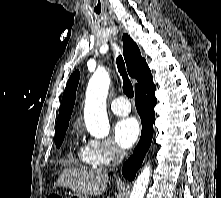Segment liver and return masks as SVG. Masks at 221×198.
Wrapping results in <instances>:
<instances>
[{
    "instance_id": "1",
    "label": "liver",
    "mask_w": 221,
    "mask_h": 198,
    "mask_svg": "<svg viewBox=\"0 0 221 198\" xmlns=\"http://www.w3.org/2000/svg\"><path fill=\"white\" fill-rule=\"evenodd\" d=\"M108 182L106 171L85 170V169H65L58 180L56 186H63L87 196L101 195Z\"/></svg>"
}]
</instances>
